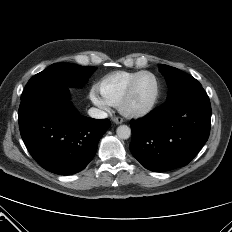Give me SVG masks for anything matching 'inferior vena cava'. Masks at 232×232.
<instances>
[{"label": "inferior vena cava", "instance_id": "inferior-vena-cava-1", "mask_svg": "<svg viewBox=\"0 0 232 232\" xmlns=\"http://www.w3.org/2000/svg\"><path fill=\"white\" fill-rule=\"evenodd\" d=\"M88 114L90 117L96 118V119H105L108 116L105 111H102V110L94 108V107H92L88 110Z\"/></svg>", "mask_w": 232, "mask_h": 232}]
</instances>
